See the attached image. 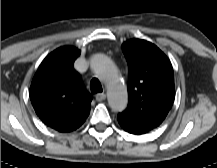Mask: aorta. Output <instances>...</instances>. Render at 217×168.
Wrapping results in <instances>:
<instances>
[{"instance_id": "aorta-1", "label": "aorta", "mask_w": 217, "mask_h": 168, "mask_svg": "<svg viewBox=\"0 0 217 168\" xmlns=\"http://www.w3.org/2000/svg\"><path fill=\"white\" fill-rule=\"evenodd\" d=\"M91 68L107 86V99L114 111H123L127 107L126 86L118 76L117 68L104 54H95L91 59Z\"/></svg>"}]
</instances>
